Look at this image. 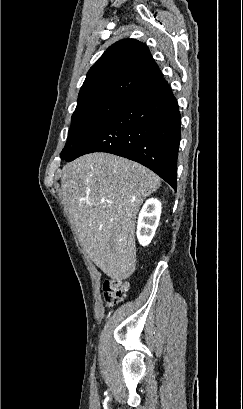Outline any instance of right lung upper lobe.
<instances>
[{"mask_svg": "<svg viewBox=\"0 0 243 409\" xmlns=\"http://www.w3.org/2000/svg\"><path fill=\"white\" fill-rule=\"evenodd\" d=\"M162 78L148 47L135 39L110 46L90 68L78 103L107 98L126 99Z\"/></svg>", "mask_w": 243, "mask_h": 409, "instance_id": "1", "label": "right lung upper lobe"}]
</instances>
